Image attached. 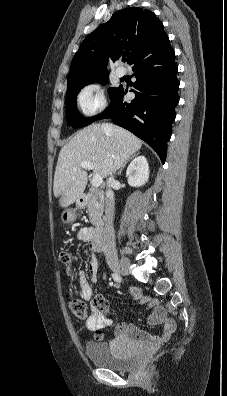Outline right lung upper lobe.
<instances>
[{
  "label": "right lung upper lobe",
  "instance_id": "cb5924a9",
  "mask_svg": "<svg viewBox=\"0 0 227 396\" xmlns=\"http://www.w3.org/2000/svg\"><path fill=\"white\" fill-rule=\"evenodd\" d=\"M169 41L155 13L142 8H126L90 33L75 54L68 75V88L108 74V58L116 61L127 55V63Z\"/></svg>",
  "mask_w": 227,
  "mask_h": 396
}]
</instances>
